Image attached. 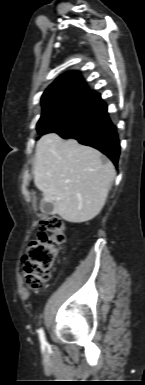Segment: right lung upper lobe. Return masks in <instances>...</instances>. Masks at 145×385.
Listing matches in <instances>:
<instances>
[{
	"instance_id": "cb5924a9",
	"label": "right lung upper lobe",
	"mask_w": 145,
	"mask_h": 385,
	"mask_svg": "<svg viewBox=\"0 0 145 385\" xmlns=\"http://www.w3.org/2000/svg\"><path fill=\"white\" fill-rule=\"evenodd\" d=\"M74 91H89L78 72L71 71L63 74L57 78L43 93L41 101L42 104L51 100L52 98Z\"/></svg>"
}]
</instances>
